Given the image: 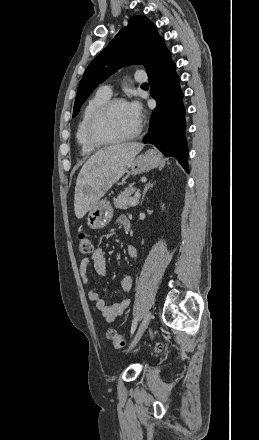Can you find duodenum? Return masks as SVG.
Segmentation results:
<instances>
[{
    "instance_id": "1",
    "label": "duodenum",
    "mask_w": 259,
    "mask_h": 440,
    "mask_svg": "<svg viewBox=\"0 0 259 440\" xmlns=\"http://www.w3.org/2000/svg\"><path fill=\"white\" fill-rule=\"evenodd\" d=\"M130 227V223H128L127 225H126V228H129Z\"/></svg>"
}]
</instances>
